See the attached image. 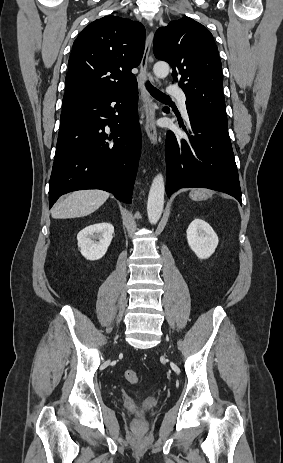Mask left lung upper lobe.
Segmentation results:
<instances>
[{"instance_id": "left-lung-upper-lobe-1", "label": "left lung upper lobe", "mask_w": 283, "mask_h": 463, "mask_svg": "<svg viewBox=\"0 0 283 463\" xmlns=\"http://www.w3.org/2000/svg\"><path fill=\"white\" fill-rule=\"evenodd\" d=\"M153 51L173 68L172 76L186 95V107L227 123L223 75L212 34L189 17L159 28Z\"/></svg>"}]
</instances>
